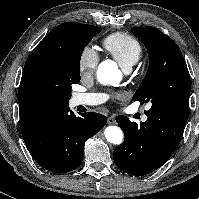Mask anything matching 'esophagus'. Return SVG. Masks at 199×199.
I'll return each mask as SVG.
<instances>
[{
  "mask_svg": "<svg viewBox=\"0 0 199 199\" xmlns=\"http://www.w3.org/2000/svg\"><path fill=\"white\" fill-rule=\"evenodd\" d=\"M107 121H108V124L110 125L115 124V119L113 117H109Z\"/></svg>",
  "mask_w": 199,
  "mask_h": 199,
  "instance_id": "obj_1",
  "label": "esophagus"
}]
</instances>
